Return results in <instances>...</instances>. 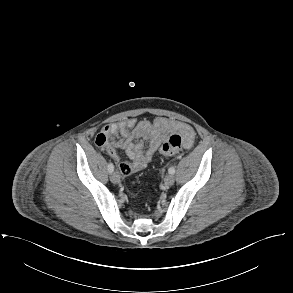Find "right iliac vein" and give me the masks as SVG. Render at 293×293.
I'll return each instance as SVG.
<instances>
[{"mask_svg":"<svg viewBox=\"0 0 293 293\" xmlns=\"http://www.w3.org/2000/svg\"><path fill=\"white\" fill-rule=\"evenodd\" d=\"M110 180L113 182V183H119L120 181V175L118 174V172H112L110 174Z\"/></svg>","mask_w":293,"mask_h":293,"instance_id":"1","label":"right iliac vein"}]
</instances>
